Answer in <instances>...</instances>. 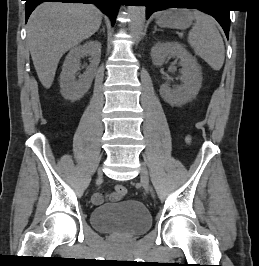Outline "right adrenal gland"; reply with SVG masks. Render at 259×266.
<instances>
[{"instance_id":"right-adrenal-gland-1","label":"right adrenal gland","mask_w":259,"mask_h":266,"mask_svg":"<svg viewBox=\"0 0 259 266\" xmlns=\"http://www.w3.org/2000/svg\"><path fill=\"white\" fill-rule=\"evenodd\" d=\"M101 31L105 32V27L104 26L102 27Z\"/></svg>"}]
</instances>
